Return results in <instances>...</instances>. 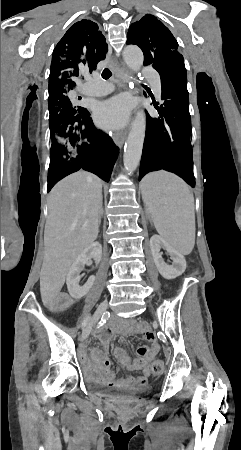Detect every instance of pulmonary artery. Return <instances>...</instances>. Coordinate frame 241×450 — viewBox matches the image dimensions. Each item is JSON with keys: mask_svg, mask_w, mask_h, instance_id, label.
Wrapping results in <instances>:
<instances>
[{"mask_svg": "<svg viewBox=\"0 0 241 450\" xmlns=\"http://www.w3.org/2000/svg\"><path fill=\"white\" fill-rule=\"evenodd\" d=\"M141 78L145 80L146 84H150L155 96H160L162 94V84L158 81V71H143L141 73ZM87 84L88 87H91L93 92H109L111 90V85L106 83L104 78H88Z\"/></svg>", "mask_w": 241, "mask_h": 450, "instance_id": "obj_1", "label": "pulmonary artery"}]
</instances>
